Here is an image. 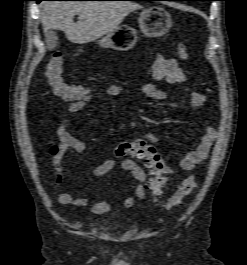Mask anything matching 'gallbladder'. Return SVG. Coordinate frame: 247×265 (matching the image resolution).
Returning a JSON list of instances; mask_svg holds the SVG:
<instances>
[{"instance_id":"1","label":"gallbladder","mask_w":247,"mask_h":265,"mask_svg":"<svg viewBox=\"0 0 247 265\" xmlns=\"http://www.w3.org/2000/svg\"><path fill=\"white\" fill-rule=\"evenodd\" d=\"M44 35H45V41L47 44V48L48 49L54 48L56 46L57 40H58L56 32L53 31L52 29H49V30L44 32Z\"/></svg>"}]
</instances>
